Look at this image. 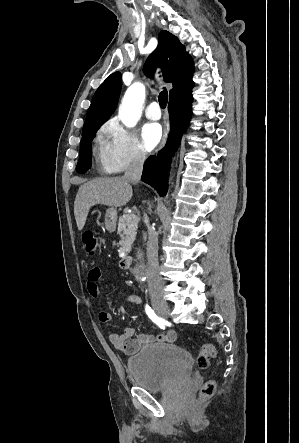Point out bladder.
I'll return each mask as SVG.
<instances>
[{
	"instance_id": "bladder-1",
	"label": "bladder",
	"mask_w": 299,
	"mask_h": 443,
	"mask_svg": "<svg viewBox=\"0 0 299 443\" xmlns=\"http://www.w3.org/2000/svg\"><path fill=\"white\" fill-rule=\"evenodd\" d=\"M193 358L175 343H154L141 348L128 360L132 381L149 391L166 389L191 376Z\"/></svg>"
}]
</instances>
